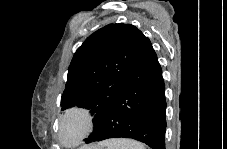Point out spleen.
I'll list each match as a JSON object with an SVG mask.
<instances>
[{"instance_id": "1", "label": "spleen", "mask_w": 227, "mask_h": 149, "mask_svg": "<svg viewBox=\"0 0 227 149\" xmlns=\"http://www.w3.org/2000/svg\"><path fill=\"white\" fill-rule=\"evenodd\" d=\"M107 149H145L144 145L131 139H111L101 143Z\"/></svg>"}]
</instances>
